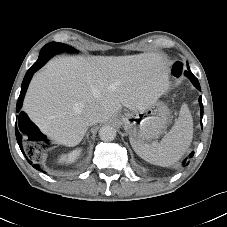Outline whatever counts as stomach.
Masks as SVG:
<instances>
[{
	"label": "stomach",
	"mask_w": 227,
	"mask_h": 227,
	"mask_svg": "<svg viewBox=\"0 0 227 227\" xmlns=\"http://www.w3.org/2000/svg\"><path fill=\"white\" fill-rule=\"evenodd\" d=\"M170 118V111L163 102H156L144 111L125 113L122 125L130 138L145 142L162 135Z\"/></svg>",
	"instance_id": "0dacf381"
}]
</instances>
